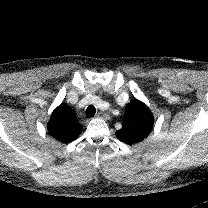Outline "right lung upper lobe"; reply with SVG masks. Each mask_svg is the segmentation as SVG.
Returning <instances> with one entry per match:
<instances>
[{
    "mask_svg": "<svg viewBox=\"0 0 208 208\" xmlns=\"http://www.w3.org/2000/svg\"><path fill=\"white\" fill-rule=\"evenodd\" d=\"M47 127L51 136L65 144L78 138L82 131L74 110L65 104L53 111Z\"/></svg>",
    "mask_w": 208,
    "mask_h": 208,
    "instance_id": "right-lung-upper-lobe-1",
    "label": "right lung upper lobe"
}]
</instances>
